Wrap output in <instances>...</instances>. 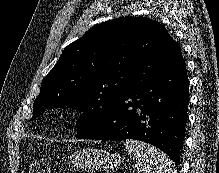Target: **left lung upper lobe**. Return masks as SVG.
Wrapping results in <instances>:
<instances>
[{
  "instance_id": "left-lung-upper-lobe-1",
  "label": "left lung upper lobe",
  "mask_w": 219,
  "mask_h": 173,
  "mask_svg": "<svg viewBox=\"0 0 219 173\" xmlns=\"http://www.w3.org/2000/svg\"><path fill=\"white\" fill-rule=\"evenodd\" d=\"M168 36L163 25L145 17H121L91 28L63 50L42 81L31 120L46 108L68 106L84 112L77 137L93 133L132 89L138 64Z\"/></svg>"
}]
</instances>
